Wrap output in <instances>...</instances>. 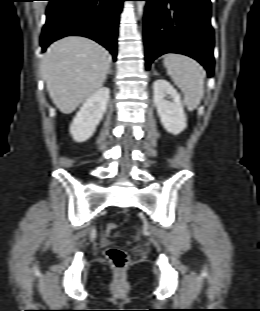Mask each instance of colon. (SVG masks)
Here are the masks:
<instances>
[{"label":"colon","instance_id":"1","mask_svg":"<svg viewBox=\"0 0 260 311\" xmlns=\"http://www.w3.org/2000/svg\"><path fill=\"white\" fill-rule=\"evenodd\" d=\"M117 229V225L114 223H109L106 226V234L109 235ZM106 257L109 263L115 269L122 270L127 267L129 263V258L127 253L119 248H109L106 251Z\"/></svg>","mask_w":260,"mask_h":311}]
</instances>
